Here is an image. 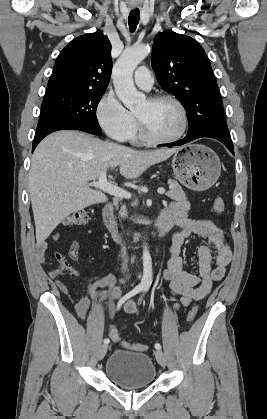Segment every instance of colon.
<instances>
[{
    "label": "colon",
    "instance_id": "1",
    "mask_svg": "<svg viewBox=\"0 0 267 419\" xmlns=\"http://www.w3.org/2000/svg\"><path fill=\"white\" fill-rule=\"evenodd\" d=\"M213 208L216 213H223L225 210V203L222 198L218 197L213 202ZM90 217L88 212L84 210H77L72 212L70 215H68L65 220L63 221L64 226H79L84 225L89 221ZM56 259L59 263V268L57 269L61 274L64 275H72L76 271L74 268L69 264L67 259L62 254H56ZM197 307L193 306L187 315L188 321H193L197 315ZM110 337L116 341L120 342L123 346L129 347L134 351L142 352L146 350V346L140 343H130L128 341H125L121 338L120 334L118 333L117 329L114 327H111L109 330Z\"/></svg>",
    "mask_w": 267,
    "mask_h": 419
}]
</instances>
